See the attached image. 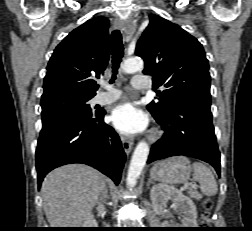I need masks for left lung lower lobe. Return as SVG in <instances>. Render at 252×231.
<instances>
[{
	"label": "left lung lower lobe",
	"instance_id": "0a47b994",
	"mask_svg": "<svg viewBox=\"0 0 252 231\" xmlns=\"http://www.w3.org/2000/svg\"><path fill=\"white\" fill-rule=\"evenodd\" d=\"M210 106L207 99L186 96L173 100L162 115L152 114L164 133L153 144L148 163L176 155L190 156L210 163L220 176V152Z\"/></svg>",
	"mask_w": 252,
	"mask_h": 231
}]
</instances>
